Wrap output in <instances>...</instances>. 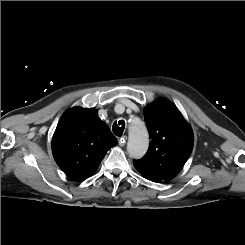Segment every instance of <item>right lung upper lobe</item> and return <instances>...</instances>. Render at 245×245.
<instances>
[{
	"label": "right lung upper lobe",
	"mask_w": 245,
	"mask_h": 245,
	"mask_svg": "<svg viewBox=\"0 0 245 245\" xmlns=\"http://www.w3.org/2000/svg\"><path fill=\"white\" fill-rule=\"evenodd\" d=\"M116 144L117 139L98 118L97 110L75 107L59 120L52 152L68 177L83 180L96 171L107 151Z\"/></svg>",
	"instance_id": "cb5924a9"
}]
</instances>
